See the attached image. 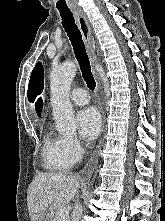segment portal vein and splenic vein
Listing matches in <instances>:
<instances>
[{"instance_id":"18ae733b","label":"portal vein and splenic vein","mask_w":165,"mask_h":221,"mask_svg":"<svg viewBox=\"0 0 165 221\" xmlns=\"http://www.w3.org/2000/svg\"><path fill=\"white\" fill-rule=\"evenodd\" d=\"M58 214H59V216L62 217V218H66V217L69 216L68 210H67L66 208H64V207L58 209Z\"/></svg>"}]
</instances>
